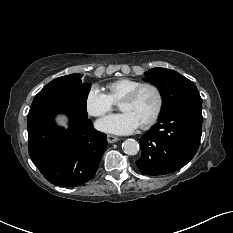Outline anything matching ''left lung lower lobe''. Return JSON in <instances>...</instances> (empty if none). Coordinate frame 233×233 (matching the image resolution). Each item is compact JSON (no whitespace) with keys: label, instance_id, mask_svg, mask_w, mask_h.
Masks as SVG:
<instances>
[{"label":"left lung lower lobe","instance_id":"left-lung-lower-lobe-1","mask_svg":"<svg viewBox=\"0 0 233 233\" xmlns=\"http://www.w3.org/2000/svg\"><path fill=\"white\" fill-rule=\"evenodd\" d=\"M202 103L185 104L161 114L140 140L136 165L144 175H163L185 166L196 154L202 132Z\"/></svg>","mask_w":233,"mask_h":233}]
</instances>
